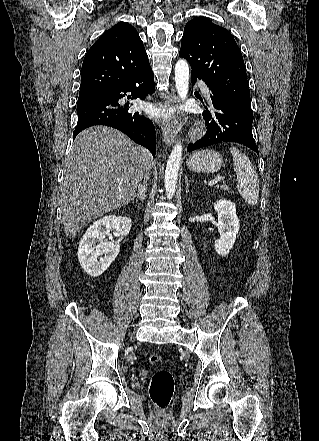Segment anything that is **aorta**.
I'll return each instance as SVG.
<instances>
[{
	"instance_id": "1",
	"label": "aorta",
	"mask_w": 319,
	"mask_h": 441,
	"mask_svg": "<svg viewBox=\"0 0 319 441\" xmlns=\"http://www.w3.org/2000/svg\"><path fill=\"white\" fill-rule=\"evenodd\" d=\"M176 89L182 101L186 100L189 87V64L185 59H179L175 65ZM182 158V145L177 143L168 158L165 169V189L168 198H171L177 187L178 171Z\"/></svg>"
}]
</instances>
